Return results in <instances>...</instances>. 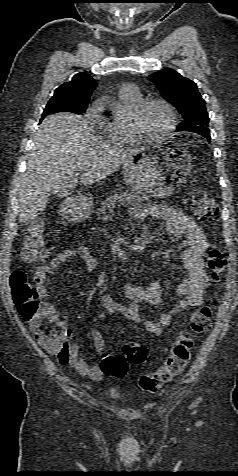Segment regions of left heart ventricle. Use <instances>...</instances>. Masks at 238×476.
Instances as JSON below:
<instances>
[{"mask_svg": "<svg viewBox=\"0 0 238 476\" xmlns=\"http://www.w3.org/2000/svg\"><path fill=\"white\" fill-rule=\"evenodd\" d=\"M169 121L166 108L160 104H152L141 116L140 126L146 133L159 134L168 126Z\"/></svg>", "mask_w": 238, "mask_h": 476, "instance_id": "b2bd125f", "label": "left heart ventricle"}]
</instances>
